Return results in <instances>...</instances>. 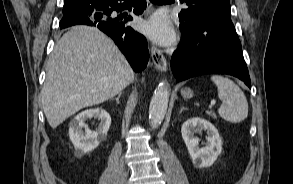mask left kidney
<instances>
[{
    "instance_id": "5707ae66",
    "label": "left kidney",
    "mask_w": 293,
    "mask_h": 184,
    "mask_svg": "<svg viewBox=\"0 0 293 184\" xmlns=\"http://www.w3.org/2000/svg\"><path fill=\"white\" fill-rule=\"evenodd\" d=\"M207 132L206 144L200 147L195 132ZM182 138L187 146L193 165L199 168L210 167L222 152V140L218 130L209 121L193 117L185 121L181 128Z\"/></svg>"
}]
</instances>
